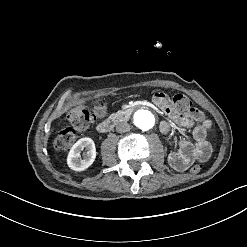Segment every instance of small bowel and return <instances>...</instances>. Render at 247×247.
Wrapping results in <instances>:
<instances>
[{
    "mask_svg": "<svg viewBox=\"0 0 247 247\" xmlns=\"http://www.w3.org/2000/svg\"><path fill=\"white\" fill-rule=\"evenodd\" d=\"M153 101L170 118L160 124V132L163 135H169L174 129H188L193 140V143L187 139L178 143L173 140L168 141L170 146H178L176 151L168 154L170 166L177 171H185L194 161H207L211 154V145L206 140V134L211 127V122L204 117L203 112L196 108L180 110L161 93L156 94ZM187 148H190L191 152L187 153L185 151Z\"/></svg>",
    "mask_w": 247,
    "mask_h": 247,
    "instance_id": "obj_1",
    "label": "small bowel"
}]
</instances>
